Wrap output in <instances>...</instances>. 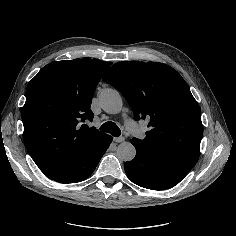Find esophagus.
I'll list each match as a JSON object with an SVG mask.
<instances>
[{
	"mask_svg": "<svg viewBox=\"0 0 236 236\" xmlns=\"http://www.w3.org/2000/svg\"><path fill=\"white\" fill-rule=\"evenodd\" d=\"M113 141L116 143H120V142L124 141V137H114Z\"/></svg>",
	"mask_w": 236,
	"mask_h": 236,
	"instance_id": "1",
	"label": "esophagus"
}]
</instances>
